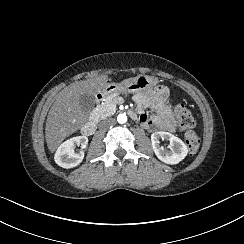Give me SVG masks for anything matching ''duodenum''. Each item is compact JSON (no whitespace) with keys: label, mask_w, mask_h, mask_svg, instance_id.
Masks as SVG:
<instances>
[{"label":"duodenum","mask_w":244,"mask_h":244,"mask_svg":"<svg viewBox=\"0 0 244 244\" xmlns=\"http://www.w3.org/2000/svg\"><path fill=\"white\" fill-rule=\"evenodd\" d=\"M105 98L104 92H99L97 94V101L103 102ZM99 115L94 114L90 117V119L82 126V133L85 136H92L97 128Z\"/></svg>","instance_id":"duodenum-1"}]
</instances>
